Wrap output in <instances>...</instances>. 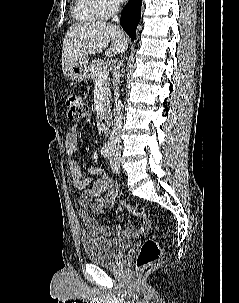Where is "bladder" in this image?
I'll return each instance as SVG.
<instances>
[{
    "label": "bladder",
    "instance_id": "1",
    "mask_svg": "<svg viewBox=\"0 0 239 303\" xmlns=\"http://www.w3.org/2000/svg\"><path fill=\"white\" fill-rule=\"evenodd\" d=\"M133 237L110 238L103 235L84 236L82 247L89 261L115 265L128 251Z\"/></svg>",
    "mask_w": 239,
    "mask_h": 303
}]
</instances>
